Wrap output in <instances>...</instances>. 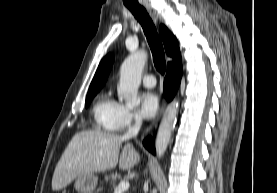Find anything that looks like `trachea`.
Listing matches in <instances>:
<instances>
[{
	"instance_id": "obj_1",
	"label": "trachea",
	"mask_w": 277,
	"mask_h": 193,
	"mask_svg": "<svg viewBox=\"0 0 277 193\" xmlns=\"http://www.w3.org/2000/svg\"><path fill=\"white\" fill-rule=\"evenodd\" d=\"M127 8L131 11L137 21L141 24L144 34L147 38L148 44L150 46L153 62L156 69L164 74L166 70L165 54L162 42L158 36L156 27L147 13L146 9L140 5H127Z\"/></svg>"
}]
</instances>
